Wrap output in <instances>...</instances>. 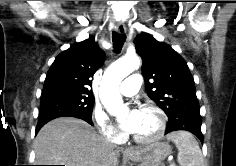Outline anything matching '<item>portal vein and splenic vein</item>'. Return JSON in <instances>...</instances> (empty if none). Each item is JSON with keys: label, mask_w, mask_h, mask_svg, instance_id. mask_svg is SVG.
Instances as JSON below:
<instances>
[{"label": "portal vein and splenic vein", "mask_w": 236, "mask_h": 166, "mask_svg": "<svg viewBox=\"0 0 236 166\" xmlns=\"http://www.w3.org/2000/svg\"><path fill=\"white\" fill-rule=\"evenodd\" d=\"M169 166H175V164H174V163H171Z\"/></svg>", "instance_id": "1"}]
</instances>
